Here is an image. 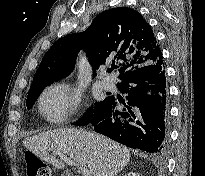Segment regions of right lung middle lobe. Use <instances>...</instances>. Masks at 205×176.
<instances>
[{"label": "right lung middle lobe", "mask_w": 205, "mask_h": 176, "mask_svg": "<svg viewBox=\"0 0 205 176\" xmlns=\"http://www.w3.org/2000/svg\"><path fill=\"white\" fill-rule=\"evenodd\" d=\"M46 86L47 85L39 87V88L32 90L28 93L27 100H26V105H27L28 109L32 108L35 100L38 98L39 94L42 92V90ZM103 102H96L94 108H89L88 111L86 112L85 116L82 119H80L78 122H76L75 124L76 125H86L90 121V119L92 118L94 112L103 104Z\"/></svg>", "instance_id": "right-lung-middle-lobe-1"}]
</instances>
